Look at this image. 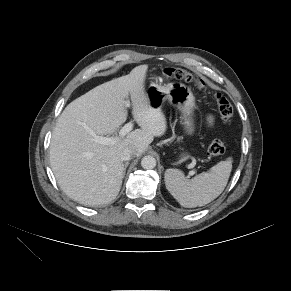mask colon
I'll list each match as a JSON object with an SVG mask.
<instances>
[{
	"label": "colon",
	"instance_id": "1",
	"mask_svg": "<svg viewBox=\"0 0 291 291\" xmlns=\"http://www.w3.org/2000/svg\"><path fill=\"white\" fill-rule=\"evenodd\" d=\"M165 75L169 78L182 80L188 83H194L199 88H204L205 84L202 80L193 77L190 73L175 68H167L164 71ZM218 112L222 119L228 120L233 115V107L229 100L222 94L215 95ZM210 156H219L225 152V143L222 139H214L208 146L207 150Z\"/></svg>",
	"mask_w": 291,
	"mask_h": 291
}]
</instances>
